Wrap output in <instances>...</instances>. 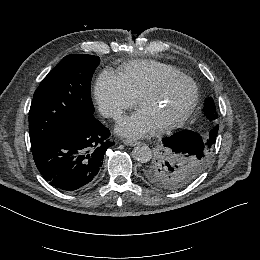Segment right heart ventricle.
<instances>
[{
  "instance_id": "e07e8e85",
  "label": "right heart ventricle",
  "mask_w": 260,
  "mask_h": 260,
  "mask_svg": "<svg viewBox=\"0 0 260 260\" xmlns=\"http://www.w3.org/2000/svg\"><path fill=\"white\" fill-rule=\"evenodd\" d=\"M179 73L174 67L161 62L140 61L130 64L121 74V80L128 92L137 98L154 80Z\"/></svg>"
}]
</instances>
